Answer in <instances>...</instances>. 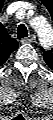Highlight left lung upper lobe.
Masks as SVG:
<instances>
[{
	"instance_id": "obj_1",
	"label": "left lung upper lobe",
	"mask_w": 53,
	"mask_h": 120,
	"mask_svg": "<svg viewBox=\"0 0 53 120\" xmlns=\"http://www.w3.org/2000/svg\"><path fill=\"white\" fill-rule=\"evenodd\" d=\"M41 1L43 2V4H44L47 8L50 7V6H49V3H47L45 0H41ZM41 50H42L43 53H44V60H45V62H46L49 66H51V65H52V62H53V54H52L53 50L45 51L43 48H41Z\"/></svg>"
}]
</instances>
